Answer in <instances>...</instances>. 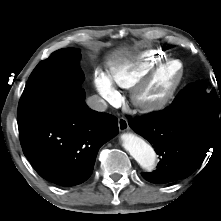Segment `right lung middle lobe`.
I'll list each match as a JSON object with an SVG mask.
<instances>
[{"instance_id": "dd1d6c3e", "label": "right lung middle lobe", "mask_w": 221, "mask_h": 221, "mask_svg": "<svg viewBox=\"0 0 221 221\" xmlns=\"http://www.w3.org/2000/svg\"><path fill=\"white\" fill-rule=\"evenodd\" d=\"M80 56L79 49L64 48L36 66L19 102V130L50 116L81 91L85 76L79 66Z\"/></svg>"}]
</instances>
